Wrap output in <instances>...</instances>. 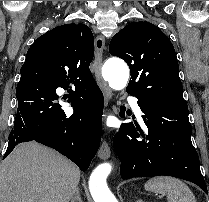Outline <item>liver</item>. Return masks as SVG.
<instances>
[{
  "label": "liver",
  "mask_w": 209,
  "mask_h": 202,
  "mask_svg": "<svg viewBox=\"0 0 209 202\" xmlns=\"http://www.w3.org/2000/svg\"><path fill=\"white\" fill-rule=\"evenodd\" d=\"M79 168L36 142L18 145L0 167V202H69Z\"/></svg>",
  "instance_id": "liver-1"
}]
</instances>
